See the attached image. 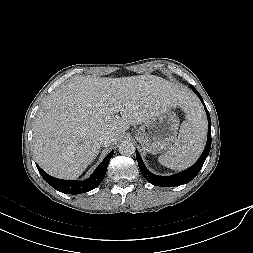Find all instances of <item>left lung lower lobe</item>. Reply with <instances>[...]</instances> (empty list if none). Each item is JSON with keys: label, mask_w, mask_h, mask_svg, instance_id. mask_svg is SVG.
<instances>
[{"label": "left lung lower lobe", "mask_w": 253, "mask_h": 253, "mask_svg": "<svg viewBox=\"0 0 253 253\" xmlns=\"http://www.w3.org/2000/svg\"><path fill=\"white\" fill-rule=\"evenodd\" d=\"M191 87H192V90L198 95L201 102L203 103L205 110H206L207 118H208V139H207L206 147H205L201 157L199 158V160L193 166H191L190 168H188L187 170H185L179 174H175V175L168 176V177L157 176V175H154L151 172H149L146 169L145 165L143 164L142 159L136 150V159L138 161L139 169H140L142 175L144 176L145 179H147L151 184H153L155 186L173 187V186H178V185H182V184H186V183L190 182L199 173L200 169L202 168V166L205 162L206 157L209 154L210 147H211V131H210L211 119H210V115H209V112L204 104V101H203L202 97L200 96V94L198 93V91L193 86H191Z\"/></svg>", "instance_id": "1"}]
</instances>
